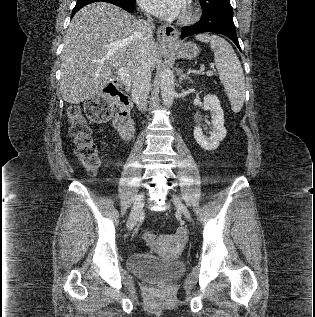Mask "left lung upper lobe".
<instances>
[{
    "label": "left lung upper lobe",
    "instance_id": "obj_1",
    "mask_svg": "<svg viewBox=\"0 0 315 317\" xmlns=\"http://www.w3.org/2000/svg\"><path fill=\"white\" fill-rule=\"evenodd\" d=\"M203 14L206 17L217 18L220 16L228 15L233 16V10L230 5V0H199Z\"/></svg>",
    "mask_w": 315,
    "mask_h": 317
}]
</instances>
